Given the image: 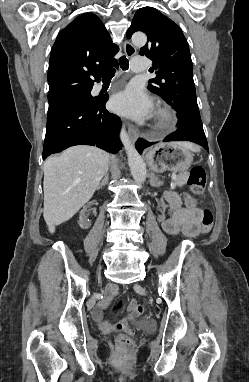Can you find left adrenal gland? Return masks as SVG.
Listing matches in <instances>:
<instances>
[{"instance_id":"a2214340","label":"left adrenal gland","mask_w":249,"mask_h":382,"mask_svg":"<svg viewBox=\"0 0 249 382\" xmlns=\"http://www.w3.org/2000/svg\"><path fill=\"white\" fill-rule=\"evenodd\" d=\"M150 185L152 187H160L162 185V182L161 181H157L156 178H155V175L153 173H151Z\"/></svg>"}]
</instances>
